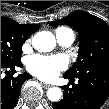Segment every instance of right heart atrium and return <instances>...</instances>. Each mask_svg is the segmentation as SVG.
<instances>
[{"instance_id":"1","label":"right heart atrium","mask_w":109,"mask_h":109,"mask_svg":"<svg viewBox=\"0 0 109 109\" xmlns=\"http://www.w3.org/2000/svg\"><path fill=\"white\" fill-rule=\"evenodd\" d=\"M27 46H29V42H26V43L24 44V48L27 47Z\"/></svg>"}]
</instances>
